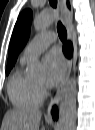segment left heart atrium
<instances>
[{"instance_id": "obj_1", "label": "left heart atrium", "mask_w": 95, "mask_h": 130, "mask_svg": "<svg viewBox=\"0 0 95 130\" xmlns=\"http://www.w3.org/2000/svg\"><path fill=\"white\" fill-rule=\"evenodd\" d=\"M44 64L46 69L45 84L47 87H54L63 76V59L57 51H53L45 56Z\"/></svg>"}]
</instances>
